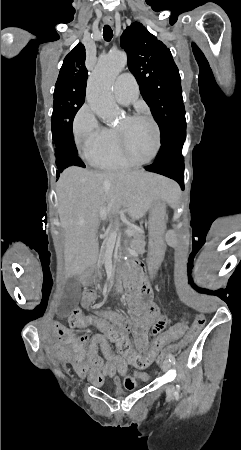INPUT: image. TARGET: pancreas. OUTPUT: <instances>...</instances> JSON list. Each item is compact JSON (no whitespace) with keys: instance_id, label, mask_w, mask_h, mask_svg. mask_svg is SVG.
<instances>
[{"instance_id":"1","label":"pancreas","mask_w":241,"mask_h":450,"mask_svg":"<svg viewBox=\"0 0 241 450\" xmlns=\"http://www.w3.org/2000/svg\"><path fill=\"white\" fill-rule=\"evenodd\" d=\"M128 228H132L134 231V234L132 236H127V237H133L132 241L134 242V245L130 246L131 250H146L147 246L144 245V241L146 240L143 236H141L140 232H138V228L137 227H128ZM135 228V229H134ZM111 232H117V230H111ZM106 238H109V234L108 236H106ZM130 240V239H129ZM107 240H105V242H103L102 246H101V250H100V256H99V260H98V266H103L104 264V256H105V252L107 250Z\"/></svg>"}]
</instances>
